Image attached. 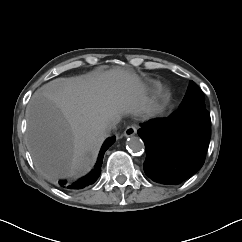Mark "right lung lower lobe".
<instances>
[{"mask_svg": "<svg viewBox=\"0 0 242 242\" xmlns=\"http://www.w3.org/2000/svg\"><path fill=\"white\" fill-rule=\"evenodd\" d=\"M115 138H108L103 144L95 168L86 176L76 182L69 183L67 180H60L59 185L67 190H79L90 184H93L101 173V166L105 151L114 143Z\"/></svg>", "mask_w": 242, "mask_h": 242, "instance_id": "98d812e1", "label": "right lung lower lobe"}]
</instances>
